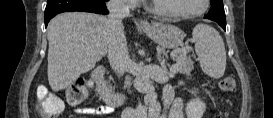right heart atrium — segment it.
I'll return each mask as SVG.
<instances>
[{
	"mask_svg": "<svg viewBox=\"0 0 273 118\" xmlns=\"http://www.w3.org/2000/svg\"><path fill=\"white\" fill-rule=\"evenodd\" d=\"M122 3L125 8L131 9L136 5V0H123Z\"/></svg>",
	"mask_w": 273,
	"mask_h": 118,
	"instance_id": "d8ad5b80",
	"label": "right heart atrium"
}]
</instances>
